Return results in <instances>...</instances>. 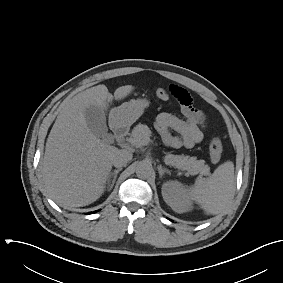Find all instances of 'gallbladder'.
I'll list each match as a JSON object with an SVG mask.
<instances>
[{
  "label": "gallbladder",
  "instance_id": "obj_1",
  "mask_svg": "<svg viewBox=\"0 0 283 283\" xmlns=\"http://www.w3.org/2000/svg\"><path fill=\"white\" fill-rule=\"evenodd\" d=\"M85 119L90 131L103 139L108 136L106 117L103 110L98 106H89L85 110Z\"/></svg>",
  "mask_w": 283,
  "mask_h": 283
}]
</instances>
